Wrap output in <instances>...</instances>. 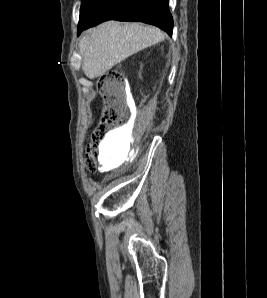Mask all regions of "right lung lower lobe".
<instances>
[{"label":"right lung lower lobe","instance_id":"right-lung-lower-lobe-1","mask_svg":"<svg viewBox=\"0 0 267 298\" xmlns=\"http://www.w3.org/2000/svg\"><path fill=\"white\" fill-rule=\"evenodd\" d=\"M107 20L144 22L169 35L173 32L168 0H105L90 19L78 25V35L84 29Z\"/></svg>","mask_w":267,"mask_h":298}]
</instances>
